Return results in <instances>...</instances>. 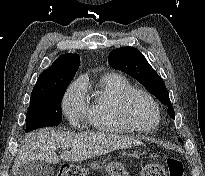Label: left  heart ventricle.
<instances>
[{"label":"left heart ventricle","instance_id":"obj_1","mask_svg":"<svg viewBox=\"0 0 205 176\" xmlns=\"http://www.w3.org/2000/svg\"><path fill=\"white\" fill-rule=\"evenodd\" d=\"M132 120L141 126H152L157 120L156 112L151 103L143 96H135L129 105Z\"/></svg>","mask_w":205,"mask_h":176}]
</instances>
